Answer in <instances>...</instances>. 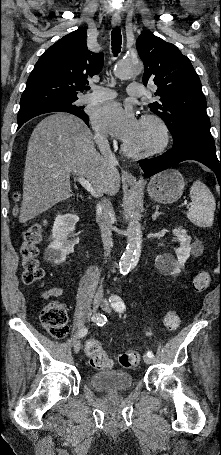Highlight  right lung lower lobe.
<instances>
[{"instance_id":"1","label":"right lung lower lobe","mask_w":221,"mask_h":455,"mask_svg":"<svg viewBox=\"0 0 221 455\" xmlns=\"http://www.w3.org/2000/svg\"><path fill=\"white\" fill-rule=\"evenodd\" d=\"M40 114H43V112H39V113H32V114H29V115H26V116H23L21 118L18 119V129L25 123L27 122L29 119L35 117V116H38ZM88 126V119L87 120H83Z\"/></svg>"}]
</instances>
